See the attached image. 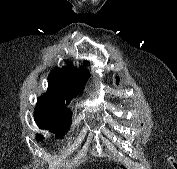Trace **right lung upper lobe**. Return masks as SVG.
Returning <instances> with one entry per match:
<instances>
[{
	"label": "right lung upper lobe",
	"mask_w": 177,
	"mask_h": 169,
	"mask_svg": "<svg viewBox=\"0 0 177 169\" xmlns=\"http://www.w3.org/2000/svg\"><path fill=\"white\" fill-rule=\"evenodd\" d=\"M85 66V65H84ZM77 69L67 64L62 68L53 69L48 76V90L38 98L37 106H50L71 101L79 93L86 80L90 77L87 68Z\"/></svg>",
	"instance_id": "obj_1"
}]
</instances>
